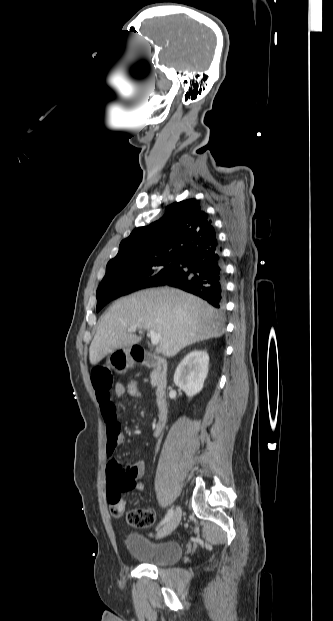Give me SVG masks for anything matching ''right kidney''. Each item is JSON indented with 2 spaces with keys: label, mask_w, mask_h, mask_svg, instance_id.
I'll use <instances>...</instances> for the list:
<instances>
[{
  "label": "right kidney",
  "mask_w": 333,
  "mask_h": 621,
  "mask_svg": "<svg viewBox=\"0 0 333 621\" xmlns=\"http://www.w3.org/2000/svg\"><path fill=\"white\" fill-rule=\"evenodd\" d=\"M209 356L204 350H193L179 363L174 382L187 396L199 393L208 374Z\"/></svg>",
  "instance_id": "obj_1"
}]
</instances>
